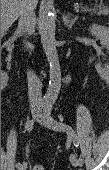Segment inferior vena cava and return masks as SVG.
<instances>
[{"label": "inferior vena cava", "mask_w": 109, "mask_h": 170, "mask_svg": "<svg viewBox=\"0 0 109 170\" xmlns=\"http://www.w3.org/2000/svg\"><path fill=\"white\" fill-rule=\"evenodd\" d=\"M18 29L21 33L31 34L34 32L36 17L31 0H22L19 13ZM28 94L31 107H38L42 103L41 81L33 71L27 72Z\"/></svg>", "instance_id": "1"}]
</instances>
